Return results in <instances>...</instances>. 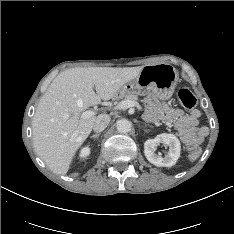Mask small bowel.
<instances>
[{"instance_id": "1", "label": "small bowel", "mask_w": 234, "mask_h": 234, "mask_svg": "<svg viewBox=\"0 0 234 234\" xmlns=\"http://www.w3.org/2000/svg\"><path fill=\"white\" fill-rule=\"evenodd\" d=\"M145 118L153 123L173 124L181 141L189 148L200 144L208 135V128L199 126L200 111L195 109L185 113L181 109L171 107L149 95L145 98Z\"/></svg>"}]
</instances>
